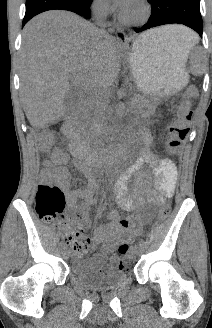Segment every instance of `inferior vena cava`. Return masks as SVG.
Returning a JSON list of instances; mask_svg holds the SVG:
<instances>
[{"label": "inferior vena cava", "mask_w": 212, "mask_h": 328, "mask_svg": "<svg viewBox=\"0 0 212 328\" xmlns=\"http://www.w3.org/2000/svg\"><path fill=\"white\" fill-rule=\"evenodd\" d=\"M109 7L107 4H98L93 8V18L96 20L98 25H102V20L108 15ZM101 32L106 33L104 29H101ZM101 93L96 90H90L87 98V109L88 115L95 116L98 112L99 103L101 101Z\"/></svg>", "instance_id": "obj_1"}]
</instances>
